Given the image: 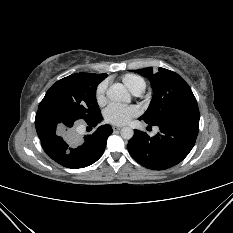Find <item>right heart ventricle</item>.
<instances>
[{
    "mask_svg": "<svg viewBox=\"0 0 233 233\" xmlns=\"http://www.w3.org/2000/svg\"><path fill=\"white\" fill-rule=\"evenodd\" d=\"M124 85L132 92H143L146 88V81L136 74H125L121 78Z\"/></svg>",
    "mask_w": 233,
    "mask_h": 233,
    "instance_id": "1",
    "label": "right heart ventricle"
}]
</instances>
